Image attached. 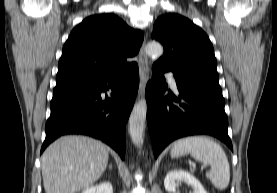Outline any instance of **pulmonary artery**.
<instances>
[{
    "label": "pulmonary artery",
    "instance_id": "e3ab8cb5",
    "mask_svg": "<svg viewBox=\"0 0 277 193\" xmlns=\"http://www.w3.org/2000/svg\"><path fill=\"white\" fill-rule=\"evenodd\" d=\"M166 78L168 80V83H169L170 87L173 90H177V84H176L174 76L171 73H167Z\"/></svg>",
    "mask_w": 277,
    "mask_h": 193
}]
</instances>
